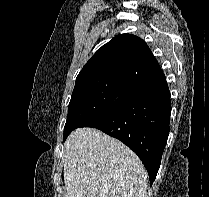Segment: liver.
Returning <instances> with one entry per match:
<instances>
[{"label":"liver","instance_id":"obj_1","mask_svg":"<svg viewBox=\"0 0 209 197\" xmlns=\"http://www.w3.org/2000/svg\"><path fill=\"white\" fill-rule=\"evenodd\" d=\"M64 146V197H145L148 173L121 141L78 128Z\"/></svg>","mask_w":209,"mask_h":197}]
</instances>
